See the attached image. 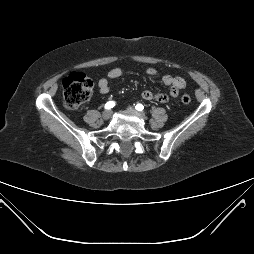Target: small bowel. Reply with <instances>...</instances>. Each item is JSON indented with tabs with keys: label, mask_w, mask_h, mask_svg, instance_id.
I'll return each mask as SVG.
<instances>
[{
	"label": "small bowel",
	"mask_w": 254,
	"mask_h": 254,
	"mask_svg": "<svg viewBox=\"0 0 254 254\" xmlns=\"http://www.w3.org/2000/svg\"><path fill=\"white\" fill-rule=\"evenodd\" d=\"M148 76H155L157 74L156 69L148 68L146 70ZM122 76V70L120 68H112L108 71L106 77H102L98 80V90L101 94H107L110 91L109 80L117 79ZM165 85L169 89L165 92L153 94L150 90H144L141 93V97L144 100H156L159 103H166L170 98L177 97L179 92L186 87V81L180 76L164 75L162 78Z\"/></svg>",
	"instance_id": "small-bowel-1"
}]
</instances>
